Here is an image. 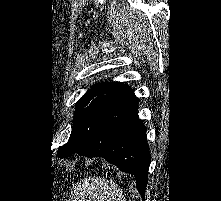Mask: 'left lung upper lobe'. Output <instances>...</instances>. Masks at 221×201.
<instances>
[{"label":"left lung upper lobe","mask_w":221,"mask_h":201,"mask_svg":"<svg viewBox=\"0 0 221 201\" xmlns=\"http://www.w3.org/2000/svg\"><path fill=\"white\" fill-rule=\"evenodd\" d=\"M133 94L120 82L100 83L89 89L76 103L70 138L57 151L64 158L76 153L93 135L107 113Z\"/></svg>","instance_id":"obj_1"}]
</instances>
